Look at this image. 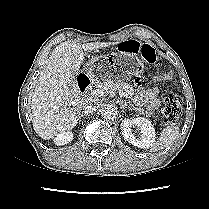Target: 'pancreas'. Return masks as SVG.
<instances>
[{
    "label": "pancreas",
    "instance_id": "cf45deb5",
    "mask_svg": "<svg viewBox=\"0 0 209 209\" xmlns=\"http://www.w3.org/2000/svg\"><path fill=\"white\" fill-rule=\"evenodd\" d=\"M101 89H117V90H123L126 94V97L131 98L132 95L134 94V89L131 85L127 84L126 82H122V81H112V80H108L106 82L103 83H98L97 84ZM135 111H138L139 114H148L145 113L144 111L141 110H137L136 108H134Z\"/></svg>",
    "mask_w": 209,
    "mask_h": 209
}]
</instances>
